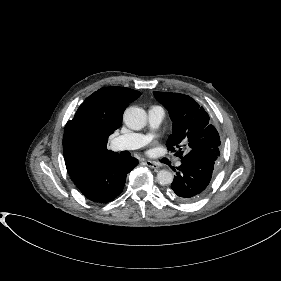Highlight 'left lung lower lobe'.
Instances as JSON below:
<instances>
[{"label":"left lung lower lobe","mask_w":281,"mask_h":281,"mask_svg":"<svg viewBox=\"0 0 281 281\" xmlns=\"http://www.w3.org/2000/svg\"><path fill=\"white\" fill-rule=\"evenodd\" d=\"M219 156V148L192 149L175 170L176 175L171 184L174 196L184 202L198 199L213 177Z\"/></svg>","instance_id":"obj_1"}]
</instances>
